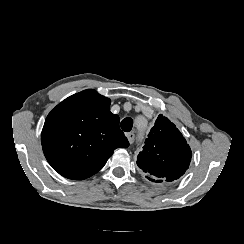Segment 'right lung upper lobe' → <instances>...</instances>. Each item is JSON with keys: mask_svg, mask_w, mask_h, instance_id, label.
Masks as SVG:
<instances>
[{"mask_svg": "<svg viewBox=\"0 0 244 244\" xmlns=\"http://www.w3.org/2000/svg\"><path fill=\"white\" fill-rule=\"evenodd\" d=\"M110 99L93 89L76 93L47 116L41 134L44 155L62 176L83 180L97 173L116 148L129 146L110 112Z\"/></svg>", "mask_w": 244, "mask_h": 244, "instance_id": "obj_1", "label": "right lung upper lobe"}]
</instances>
